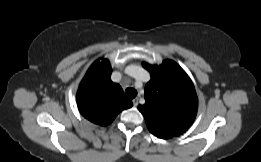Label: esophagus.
<instances>
[{
  "label": "esophagus",
  "instance_id": "34e87169",
  "mask_svg": "<svg viewBox=\"0 0 261 162\" xmlns=\"http://www.w3.org/2000/svg\"><path fill=\"white\" fill-rule=\"evenodd\" d=\"M138 98H135V99H133L132 100V102H133V105L136 107V106H138Z\"/></svg>",
  "mask_w": 261,
  "mask_h": 162
}]
</instances>
